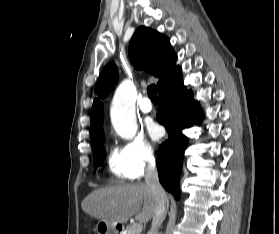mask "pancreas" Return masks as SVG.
<instances>
[{
    "instance_id": "pancreas-1",
    "label": "pancreas",
    "mask_w": 279,
    "mask_h": 234,
    "mask_svg": "<svg viewBox=\"0 0 279 234\" xmlns=\"http://www.w3.org/2000/svg\"><path fill=\"white\" fill-rule=\"evenodd\" d=\"M124 234H140V233H133V232H132V226H130V227H128V228L126 229V231H125Z\"/></svg>"
}]
</instances>
